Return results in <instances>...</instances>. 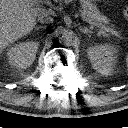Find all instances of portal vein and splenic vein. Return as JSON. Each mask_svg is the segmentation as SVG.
<instances>
[{
    "instance_id": "obj_1",
    "label": "portal vein and splenic vein",
    "mask_w": 128,
    "mask_h": 128,
    "mask_svg": "<svg viewBox=\"0 0 128 128\" xmlns=\"http://www.w3.org/2000/svg\"><path fill=\"white\" fill-rule=\"evenodd\" d=\"M23 1H25L28 5H31V6H33V5H39V4H42L44 2L43 0H23ZM84 20L86 22L94 25V23L91 22L90 20H88L86 18H84ZM95 25H97V24H95Z\"/></svg>"
}]
</instances>
